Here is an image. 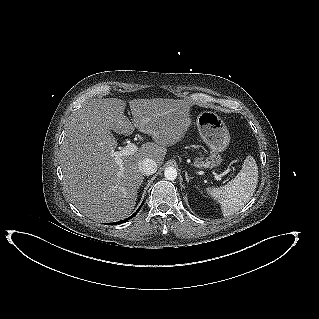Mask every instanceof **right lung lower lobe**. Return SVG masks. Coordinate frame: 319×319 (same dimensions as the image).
Wrapping results in <instances>:
<instances>
[{
    "label": "right lung lower lobe",
    "mask_w": 319,
    "mask_h": 319,
    "mask_svg": "<svg viewBox=\"0 0 319 319\" xmlns=\"http://www.w3.org/2000/svg\"><path fill=\"white\" fill-rule=\"evenodd\" d=\"M144 203V202H143ZM143 203L141 204V206L143 205ZM141 206L138 208V210L132 215V216H130L129 218H127V219H125V220H123V221H119V222H117L118 224H120V223H122V222H126L127 220H129V219H131L132 217H134L136 214H137V212L141 209ZM113 224H116V223H112V225Z\"/></svg>",
    "instance_id": "obj_1"
}]
</instances>
